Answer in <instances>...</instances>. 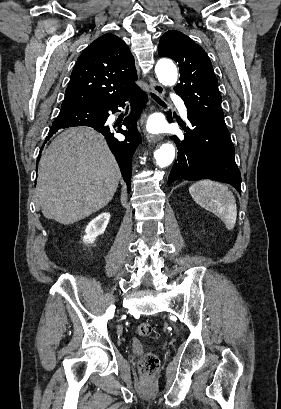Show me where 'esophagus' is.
I'll return each mask as SVG.
<instances>
[{
	"instance_id": "34e87169",
	"label": "esophagus",
	"mask_w": 281,
	"mask_h": 409,
	"mask_svg": "<svg viewBox=\"0 0 281 409\" xmlns=\"http://www.w3.org/2000/svg\"><path fill=\"white\" fill-rule=\"evenodd\" d=\"M149 84H150V88L153 90V92L155 94H157V96H160V97L164 96L165 89L160 83H158L153 78L149 77ZM147 140H148V142H151V143L159 142L160 140H162V136L161 135L148 134L147 135Z\"/></svg>"
}]
</instances>
